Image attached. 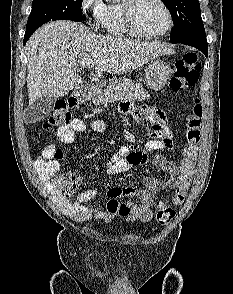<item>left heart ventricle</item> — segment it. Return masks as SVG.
<instances>
[{"label": "left heart ventricle", "mask_w": 233, "mask_h": 294, "mask_svg": "<svg viewBox=\"0 0 233 294\" xmlns=\"http://www.w3.org/2000/svg\"><path fill=\"white\" fill-rule=\"evenodd\" d=\"M138 27L145 33L156 34L168 25V18L156 0H141L135 11Z\"/></svg>", "instance_id": "left-heart-ventricle-1"}]
</instances>
